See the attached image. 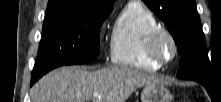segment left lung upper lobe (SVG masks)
I'll return each mask as SVG.
<instances>
[{"label":"left lung upper lobe","instance_id":"left-lung-upper-lobe-1","mask_svg":"<svg viewBox=\"0 0 221 102\" xmlns=\"http://www.w3.org/2000/svg\"><path fill=\"white\" fill-rule=\"evenodd\" d=\"M165 23L178 45L179 78L199 83L210 80V62L205 55V36L195 0H143Z\"/></svg>","mask_w":221,"mask_h":102}]
</instances>
